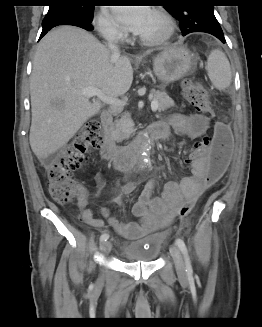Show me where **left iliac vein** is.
Here are the masks:
<instances>
[{
    "mask_svg": "<svg viewBox=\"0 0 262 327\" xmlns=\"http://www.w3.org/2000/svg\"><path fill=\"white\" fill-rule=\"evenodd\" d=\"M170 254L174 260L176 271L181 278L186 277V269H185V264L183 261V258L181 256V253L178 249V247L175 244H172L170 246Z\"/></svg>",
    "mask_w": 262,
    "mask_h": 327,
    "instance_id": "4c4485c4",
    "label": "left iliac vein"
}]
</instances>
